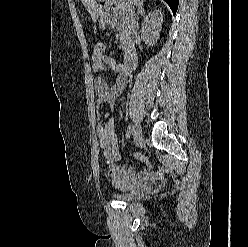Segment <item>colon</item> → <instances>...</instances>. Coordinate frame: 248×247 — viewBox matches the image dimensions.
Segmentation results:
<instances>
[{"instance_id": "5ec220e1", "label": "colon", "mask_w": 248, "mask_h": 247, "mask_svg": "<svg viewBox=\"0 0 248 247\" xmlns=\"http://www.w3.org/2000/svg\"><path fill=\"white\" fill-rule=\"evenodd\" d=\"M104 52H105V47H104V44L102 42H97L95 44V47H94V54L97 56V57H102L104 56ZM138 157L147 162L149 165H150V162L148 161V159L142 155V154H138Z\"/></svg>"}]
</instances>
